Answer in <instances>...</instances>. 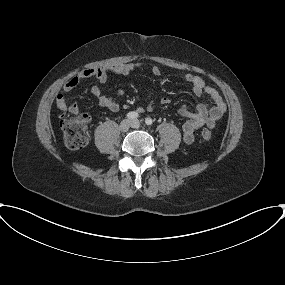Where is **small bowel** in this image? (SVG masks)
Listing matches in <instances>:
<instances>
[{
    "mask_svg": "<svg viewBox=\"0 0 285 285\" xmlns=\"http://www.w3.org/2000/svg\"><path fill=\"white\" fill-rule=\"evenodd\" d=\"M148 67L151 73L155 76L161 74V70L157 65L146 64L142 62L124 63L111 68H90L81 71L76 76L69 79L63 86L62 91L56 97L57 107L62 111H69L77 114L80 111L78 104L75 101L68 102L66 94L76 88L79 83L86 78H96L99 83H105L109 72H114L122 75H129L134 70ZM184 80L191 84L193 93L198 96H208L212 101V105L206 102L199 103L195 109H192L188 105H182L178 109L180 116L186 119L182 126V138L184 143L191 144L195 139V131L202 126L213 128L216 122L221 119L226 112V105L222 95L212 85L206 83L200 76L192 73L184 75ZM91 94L97 98L99 104L112 112L119 110V103L115 97L107 96L103 94L101 88L98 85H93L90 89ZM123 90H118L116 96H122ZM161 103L166 105L169 103L168 98H162ZM152 102L147 106V110L152 109ZM145 109L140 107L137 109L139 112H143ZM88 120L89 117L85 115Z\"/></svg>",
    "mask_w": 285,
    "mask_h": 285,
    "instance_id": "obj_1",
    "label": "small bowel"
}]
</instances>
